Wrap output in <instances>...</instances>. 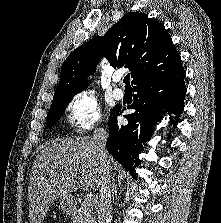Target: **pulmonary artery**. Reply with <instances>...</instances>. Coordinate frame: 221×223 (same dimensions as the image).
Returning a JSON list of instances; mask_svg holds the SVG:
<instances>
[{"instance_id":"e3ab8cb5","label":"pulmonary artery","mask_w":221,"mask_h":223,"mask_svg":"<svg viewBox=\"0 0 221 223\" xmlns=\"http://www.w3.org/2000/svg\"><path fill=\"white\" fill-rule=\"evenodd\" d=\"M121 81L122 77L120 75L114 77V82L120 83ZM113 95L116 99H122L124 97V91L121 88H114Z\"/></svg>"}]
</instances>
